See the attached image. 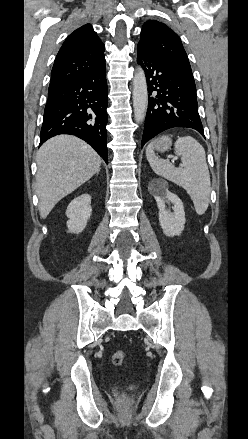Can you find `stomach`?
Listing matches in <instances>:
<instances>
[{
  "label": "stomach",
  "instance_id": "obj_1",
  "mask_svg": "<svg viewBox=\"0 0 248 439\" xmlns=\"http://www.w3.org/2000/svg\"><path fill=\"white\" fill-rule=\"evenodd\" d=\"M171 138L169 136H162L159 139L154 140L151 144L153 149L159 152H164L171 147Z\"/></svg>",
  "mask_w": 248,
  "mask_h": 439
}]
</instances>
